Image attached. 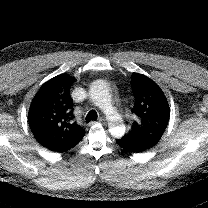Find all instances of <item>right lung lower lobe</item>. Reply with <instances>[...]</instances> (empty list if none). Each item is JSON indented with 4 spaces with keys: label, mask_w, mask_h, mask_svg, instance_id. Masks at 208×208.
Masks as SVG:
<instances>
[{
    "label": "right lung lower lobe",
    "mask_w": 208,
    "mask_h": 208,
    "mask_svg": "<svg viewBox=\"0 0 208 208\" xmlns=\"http://www.w3.org/2000/svg\"><path fill=\"white\" fill-rule=\"evenodd\" d=\"M74 147V146H73ZM72 148V147H71ZM71 148H69V149H71ZM69 149H67V150H69ZM67 150H64V151H67ZM64 151H62V152H64Z\"/></svg>",
    "instance_id": "98d812e1"
}]
</instances>
